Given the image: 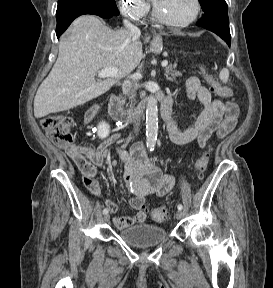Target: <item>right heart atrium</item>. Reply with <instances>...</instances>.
Returning <instances> with one entry per match:
<instances>
[{
  "mask_svg": "<svg viewBox=\"0 0 273 288\" xmlns=\"http://www.w3.org/2000/svg\"><path fill=\"white\" fill-rule=\"evenodd\" d=\"M120 11L130 20L139 22L148 14L150 7L143 0H117Z\"/></svg>",
  "mask_w": 273,
  "mask_h": 288,
  "instance_id": "d8ad5b80",
  "label": "right heart atrium"
}]
</instances>
